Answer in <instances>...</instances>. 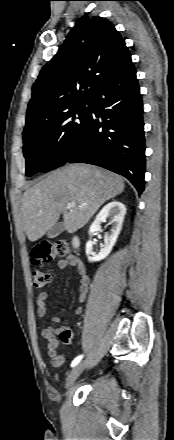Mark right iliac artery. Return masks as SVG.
Segmentation results:
<instances>
[{
    "label": "right iliac artery",
    "instance_id": "82829eb1",
    "mask_svg": "<svg viewBox=\"0 0 174 440\" xmlns=\"http://www.w3.org/2000/svg\"><path fill=\"white\" fill-rule=\"evenodd\" d=\"M82 358H83V355H80V356L76 357V358L72 361V363H71V367L76 366V365L81 361Z\"/></svg>",
    "mask_w": 174,
    "mask_h": 440
}]
</instances>
